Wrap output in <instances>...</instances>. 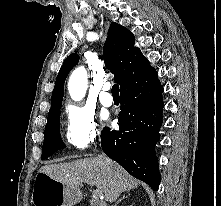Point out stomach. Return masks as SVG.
I'll return each instance as SVG.
<instances>
[{
  "label": "stomach",
  "instance_id": "0dacf381",
  "mask_svg": "<svg viewBox=\"0 0 221 206\" xmlns=\"http://www.w3.org/2000/svg\"><path fill=\"white\" fill-rule=\"evenodd\" d=\"M81 191L44 173H38L33 187L34 206H72L81 200Z\"/></svg>",
  "mask_w": 221,
  "mask_h": 206
}]
</instances>
